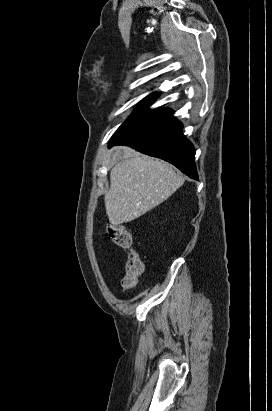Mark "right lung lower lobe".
<instances>
[{"label":"right lung lower lobe","mask_w":272,"mask_h":411,"mask_svg":"<svg viewBox=\"0 0 272 411\" xmlns=\"http://www.w3.org/2000/svg\"><path fill=\"white\" fill-rule=\"evenodd\" d=\"M182 124L172 115L125 138H112L113 145H127L144 154L163 159L192 179L198 180L195 150L182 134Z\"/></svg>","instance_id":"1"}]
</instances>
